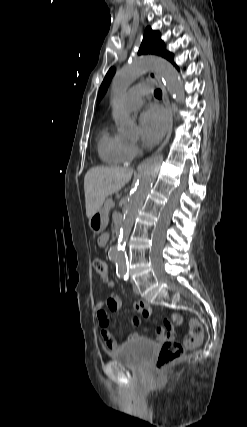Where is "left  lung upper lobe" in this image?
Wrapping results in <instances>:
<instances>
[{
	"label": "left lung upper lobe",
	"instance_id": "5c2ea615",
	"mask_svg": "<svg viewBox=\"0 0 247 427\" xmlns=\"http://www.w3.org/2000/svg\"><path fill=\"white\" fill-rule=\"evenodd\" d=\"M138 54H155L166 58L171 61L173 64V55L166 51L164 42L160 39V33L158 31H153L150 27H147L144 33L143 41L141 43ZM115 73V68L109 69L107 72L98 94V102L103 97L112 76Z\"/></svg>",
	"mask_w": 247,
	"mask_h": 427
}]
</instances>
